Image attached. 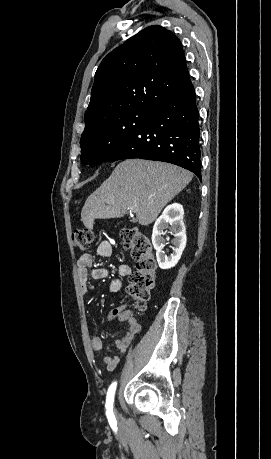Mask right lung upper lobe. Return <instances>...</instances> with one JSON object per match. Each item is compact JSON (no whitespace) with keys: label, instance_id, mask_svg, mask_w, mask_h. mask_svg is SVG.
Returning a JSON list of instances; mask_svg holds the SVG:
<instances>
[{"label":"right lung upper lobe","instance_id":"cb5924a9","mask_svg":"<svg viewBox=\"0 0 271 459\" xmlns=\"http://www.w3.org/2000/svg\"><path fill=\"white\" fill-rule=\"evenodd\" d=\"M190 82L180 40L169 30L153 25L109 53L95 74L89 120L139 105L155 108Z\"/></svg>","mask_w":271,"mask_h":459}]
</instances>
